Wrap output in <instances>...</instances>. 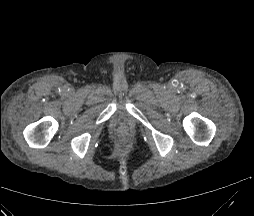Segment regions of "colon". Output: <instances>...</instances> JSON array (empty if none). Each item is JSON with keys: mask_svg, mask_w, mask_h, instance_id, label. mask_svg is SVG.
<instances>
[{"mask_svg": "<svg viewBox=\"0 0 254 216\" xmlns=\"http://www.w3.org/2000/svg\"><path fill=\"white\" fill-rule=\"evenodd\" d=\"M118 139H119V142H120L121 144H124V145L127 144L128 141H129L128 135H127L126 133H121V134L119 135Z\"/></svg>", "mask_w": 254, "mask_h": 216, "instance_id": "colon-1", "label": "colon"}]
</instances>
